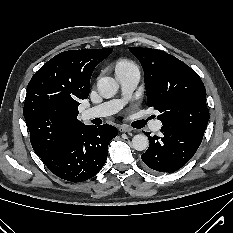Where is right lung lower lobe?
I'll use <instances>...</instances> for the list:
<instances>
[{"instance_id": "right-lung-lower-lobe-1", "label": "right lung lower lobe", "mask_w": 233, "mask_h": 233, "mask_svg": "<svg viewBox=\"0 0 233 233\" xmlns=\"http://www.w3.org/2000/svg\"><path fill=\"white\" fill-rule=\"evenodd\" d=\"M116 127L84 125L61 139L42 162L56 176L72 182L85 181L104 166L109 142L117 136Z\"/></svg>"}]
</instances>
